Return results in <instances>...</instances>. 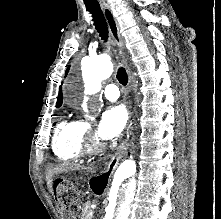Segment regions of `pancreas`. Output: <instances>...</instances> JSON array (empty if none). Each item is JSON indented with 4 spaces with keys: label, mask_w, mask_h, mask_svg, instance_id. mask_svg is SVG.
Returning <instances> with one entry per match:
<instances>
[{
    "label": "pancreas",
    "mask_w": 221,
    "mask_h": 219,
    "mask_svg": "<svg viewBox=\"0 0 221 219\" xmlns=\"http://www.w3.org/2000/svg\"><path fill=\"white\" fill-rule=\"evenodd\" d=\"M92 212L90 206L86 204V206L82 209L81 212V219H92V215L90 214Z\"/></svg>",
    "instance_id": "obj_1"
}]
</instances>
